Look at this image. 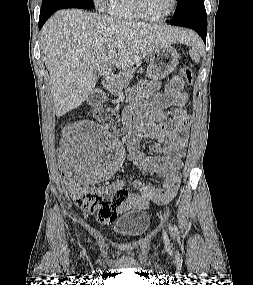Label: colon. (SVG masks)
Here are the masks:
<instances>
[{"instance_id":"1","label":"colon","mask_w":253,"mask_h":285,"mask_svg":"<svg viewBox=\"0 0 253 285\" xmlns=\"http://www.w3.org/2000/svg\"><path fill=\"white\" fill-rule=\"evenodd\" d=\"M180 74L187 83H193L194 75L191 68L182 67ZM60 145V149H57V171L63 172L62 180H66L74 203L86 213H96L101 222L112 221L117 207L127 200L128 191L124 187H89L77 181V176L68 171L71 144L67 140H60Z\"/></svg>"}]
</instances>
